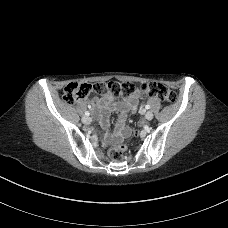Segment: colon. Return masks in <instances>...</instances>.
Returning a JSON list of instances; mask_svg holds the SVG:
<instances>
[{
  "label": "colon",
  "instance_id": "1",
  "mask_svg": "<svg viewBox=\"0 0 228 228\" xmlns=\"http://www.w3.org/2000/svg\"><path fill=\"white\" fill-rule=\"evenodd\" d=\"M135 91L136 87L129 82L119 83L110 81L108 83H97L94 85L72 82L64 88L62 98L65 103L73 104L77 100L87 98L91 94L129 98ZM140 91L146 97H156L165 103H172L176 100L175 93L161 83L150 82L142 84ZM125 151L126 146L118 142L110 149L109 156L113 161L119 162L123 159Z\"/></svg>",
  "mask_w": 228,
  "mask_h": 228
}]
</instances>
